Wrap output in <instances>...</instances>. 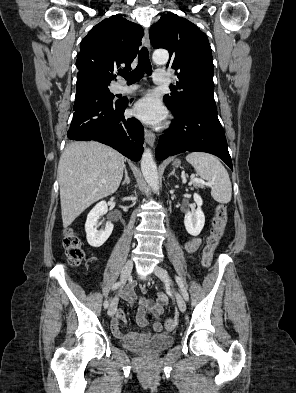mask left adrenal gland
Returning <instances> with one entry per match:
<instances>
[{
  "instance_id": "1",
  "label": "left adrenal gland",
  "mask_w": 296,
  "mask_h": 393,
  "mask_svg": "<svg viewBox=\"0 0 296 393\" xmlns=\"http://www.w3.org/2000/svg\"><path fill=\"white\" fill-rule=\"evenodd\" d=\"M171 175L175 176L178 179V176L175 173V169H173V171L168 175V177H170Z\"/></svg>"
}]
</instances>
